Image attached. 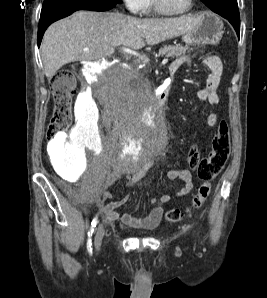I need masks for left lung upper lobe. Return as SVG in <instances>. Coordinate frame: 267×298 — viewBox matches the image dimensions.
<instances>
[{
	"label": "left lung upper lobe",
	"mask_w": 267,
	"mask_h": 298,
	"mask_svg": "<svg viewBox=\"0 0 267 298\" xmlns=\"http://www.w3.org/2000/svg\"><path fill=\"white\" fill-rule=\"evenodd\" d=\"M215 13H226L232 8H238L237 0H201Z\"/></svg>",
	"instance_id": "obj_1"
}]
</instances>
